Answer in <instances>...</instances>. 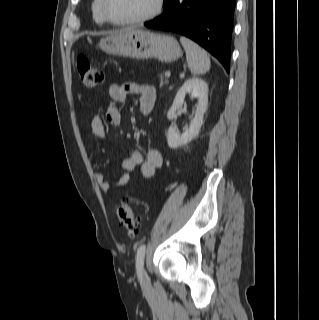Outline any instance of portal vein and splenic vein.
<instances>
[{"mask_svg":"<svg viewBox=\"0 0 319 320\" xmlns=\"http://www.w3.org/2000/svg\"><path fill=\"white\" fill-rule=\"evenodd\" d=\"M170 75H171L170 71H166V72H165V76H166V77H170Z\"/></svg>","mask_w":319,"mask_h":320,"instance_id":"portal-vein-and-splenic-vein-1","label":"portal vein and splenic vein"}]
</instances>
